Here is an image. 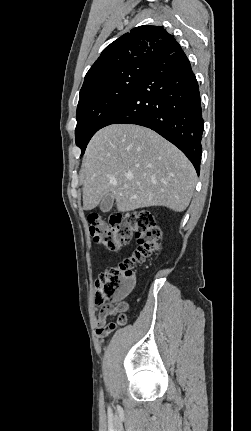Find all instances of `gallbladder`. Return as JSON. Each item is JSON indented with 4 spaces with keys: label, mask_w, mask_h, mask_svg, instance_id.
<instances>
[{
    "label": "gallbladder",
    "mask_w": 251,
    "mask_h": 431,
    "mask_svg": "<svg viewBox=\"0 0 251 431\" xmlns=\"http://www.w3.org/2000/svg\"><path fill=\"white\" fill-rule=\"evenodd\" d=\"M114 204V198L110 195L105 196L100 204V209L103 213L109 212Z\"/></svg>",
    "instance_id": "gallbladder-1"
}]
</instances>
